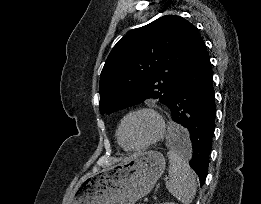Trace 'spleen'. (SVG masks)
<instances>
[{"label":"spleen","instance_id":"obj_1","mask_svg":"<svg viewBox=\"0 0 261 204\" xmlns=\"http://www.w3.org/2000/svg\"><path fill=\"white\" fill-rule=\"evenodd\" d=\"M170 131L183 132L184 129L171 125ZM169 180L166 182L168 191L183 204H190L196 194V177L187 161L175 150L168 152Z\"/></svg>","mask_w":261,"mask_h":204}]
</instances>
